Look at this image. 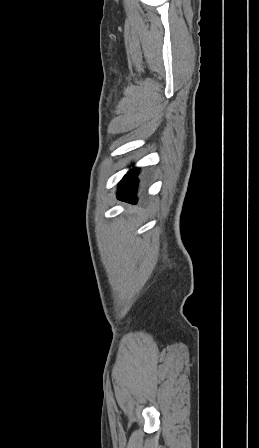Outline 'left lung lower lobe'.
I'll list each match as a JSON object with an SVG mask.
<instances>
[{"mask_svg":"<svg viewBox=\"0 0 259 448\" xmlns=\"http://www.w3.org/2000/svg\"><path fill=\"white\" fill-rule=\"evenodd\" d=\"M138 168L131 169L118 184L117 196L119 200L136 204V189L138 187Z\"/></svg>","mask_w":259,"mask_h":448,"instance_id":"left-lung-lower-lobe-1","label":"left lung lower lobe"}]
</instances>
